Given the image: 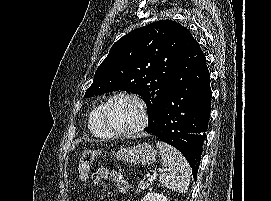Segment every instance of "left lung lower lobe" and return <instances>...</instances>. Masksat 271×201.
Here are the masks:
<instances>
[{
	"label": "left lung lower lobe",
	"mask_w": 271,
	"mask_h": 201,
	"mask_svg": "<svg viewBox=\"0 0 271 201\" xmlns=\"http://www.w3.org/2000/svg\"><path fill=\"white\" fill-rule=\"evenodd\" d=\"M211 112L210 73L198 42L186 28L171 86L157 122L144 131L178 149L189 162L194 179Z\"/></svg>",
	"instance_id": "obj_1"
}]
</instances>
